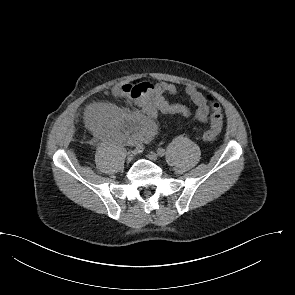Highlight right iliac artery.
Returning <instances> with one entry per match:
<instances>
[{
	"mask_svg": "<svg viewBox=\"0 0 295 295\" xmlns=\"http://www.w3.org/2000/svg\"><path fill=\"white\" fill-rule=\"evenodd\" d=\"M141 149H142V147L140 145H137L136 152H139Z\"/></svg>",
	"mask_w": 295,
	"mask_h": 295,
	"instance_id": "right-iliac-artery-1",
	"label": "right iliac artery"
}]
</instances>
